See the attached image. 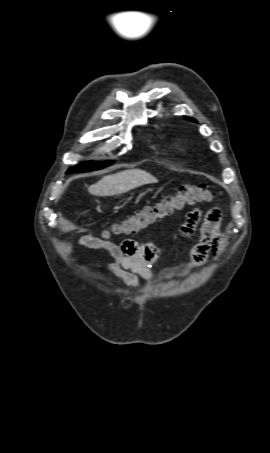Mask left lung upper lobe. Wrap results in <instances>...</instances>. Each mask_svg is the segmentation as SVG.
I'll use <instances>...</instances> for the list:
<instances>
[{
	"instance_id": "5c2ea615",
	"label": "left lung upper lobe",
	"mask_w": 270,
	"mask_h": 453,
	"mask_svg": "<svg viewBox=\"0 0 270 453\" xmlns=\"http://www.w3.org/2000/svg\"><path fill=\"white\" fill-rule=\"evenodd\" d=\"M186 118H187L188 120L195 121L193 118H188V117H186Z\"/></svg>"
}]
</instances>
